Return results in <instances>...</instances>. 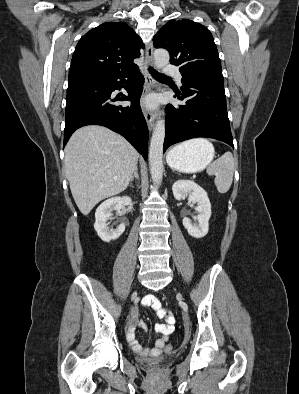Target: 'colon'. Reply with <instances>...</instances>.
<instances>
[{
    "label": "colon",
    "mask_w": 299,
    "mask_h": 394,
    "mask_svg": "<svg viewBox=\"0 0 299 394\" xmlns=\"http://www.w3.org/2000/svg\"><path fill=\"white\" fill-rule=\"evenodd\" d=\"M167 348H168V349H171V346H168Z\"/></svg>",
    "instance_id": "1"
}]
</instances>
